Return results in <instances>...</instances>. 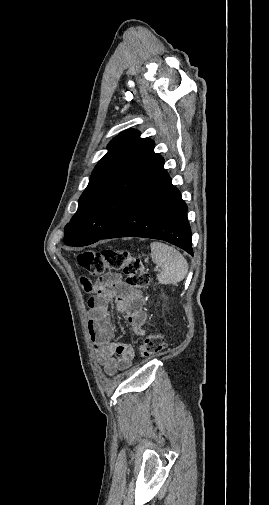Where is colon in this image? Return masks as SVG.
Segmentation results:
<instances>
[{
	"label": "colon",
	"instance_id": "obj_1",
	"mask_svg": "<svg viewBox=\"0 0 269 505\" xmlns=\"http://www.w3.org/2000/svg\"><path fill=\"white\" fill-rule=\"evenodd\" d=\"M77 262L86 272L90 271L89 276L92 281H102L106 270L123 271L127 284L133 288L146 287L150 281L143 262L125 250L84 251L78 255ZM164 347V337L161 334L152 333L139 347V352L143 357H151L160 353Z\"/></svg>",
	"mask_w": 269,
	"mask_h": 505
}]
</instances>
